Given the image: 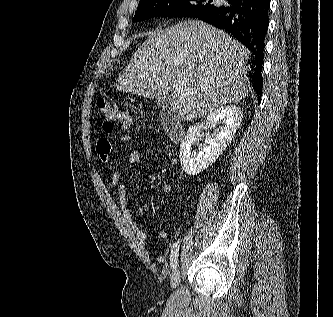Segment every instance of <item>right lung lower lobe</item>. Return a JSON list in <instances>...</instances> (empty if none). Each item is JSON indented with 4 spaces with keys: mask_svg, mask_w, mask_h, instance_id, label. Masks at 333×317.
I'll return each instance as SVG.
<instances>
[{
    "mask_svg": "<svg viewBox=\"0 0 333 317\" xmlns=\"http://www.w3.org/2000/svg\"><path fill=\"white\" fill-rule=\"evenodd\" d=\"M228 3V6H215L202 11L193 18L227 31L253 53L255 69L250 79L260 103L263 86L261 68L265 36L269 25L270 2L269 0H228Z\"/></svg>",
    "mask_w": 333,
    "mask_h": 317,
    "instance_id": "1",
    "label": "right lung lower lobe"
}]
</instances>
